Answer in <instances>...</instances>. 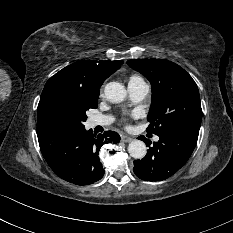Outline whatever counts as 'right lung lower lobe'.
Listing matches in <instances>:
<instances>
[{"label": "right lung lower lobe", "mask_w": 233, "mask_h": 233, "mask_svg": "<svg viewBox=\"0 0 233 233\" xmlns=\"http://www.w3.org/2000/svg\"><path fill=\"white\" fill-rule=\"evenodd\" d=\"M37 136L50 168L62 179L81 186L92 184L104 175L98 157L100 147L120 141L116 132L106 131L96 136L84 127H40Z\"/></svg>", "instance_id": "1"}]
</instances>
